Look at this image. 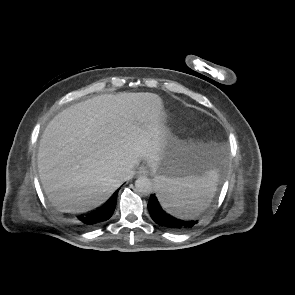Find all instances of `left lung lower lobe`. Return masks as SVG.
<instances>
[{
  "mask_svg": "<svg viewBox=\"0 0 295 295\" xmlns=\"http://www.w3.org/2000/svg\"><path fill=\"white\" fill-rule=\"evenodd\" d=\"M148 209L155 223L171 231H184L193 227L198 222L195 220H183V218H179L165 211L158 196L156 197L155 195L151 196Z\"/></svg>",
  "mask_w": 295,
  "mask_h": 295,
  "instance_id": "1",
  "label": "left lung lower lobe"
}]
</instances>
